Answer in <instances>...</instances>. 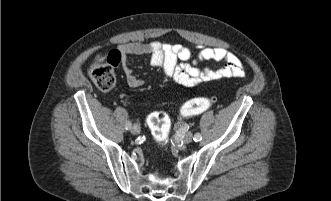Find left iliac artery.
<instances>
[{"instance_id":"44dca946","label":"left iliac artery","mask_w":331,"mask_h":201,"mask_svg":"<svg viewBox=\"0 0 331 201\" xmlns=\"http://www.w3.org/2000/svg\"><path fill=\"white\" fill-rule=\"evenodd\" d=\"M201 139H202V136L200 133H196L193 137V140L196 142L200 141Z\"/></svg>"}]
</instances>
